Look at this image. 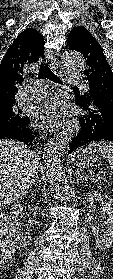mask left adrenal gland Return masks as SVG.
<instances>
[{"label":"left adrenal gland","mask_w":113,"mask_h":279,"mask_svg":"<svg viewBox=\"0 0 113 279\" xmlns=\"http://www.w3.org/2000/svg\"><path fill=\"white\" fill-rule=\"evenodd\" d=\"M78 176H77V183L79 182V180L81 181H87V178H85L83 175L80 174V172H77Z\"/></svg>","instance_id":"left-adrenal-gland-1"}]
</instances>
